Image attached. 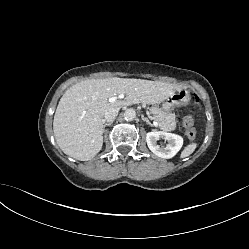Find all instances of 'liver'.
<instances>
[{
	"label": "liver",
	"mask_w": 249,
	"mask_h": 249,
	"mask_svg": "<svg viewBox=\"0 0 249 249\" xmlns=\"http://www.w3.org/2000/svg\"><path fill=\"white\" fill-rule=\"evenodd\" d=\"M174 84L134 78H105L81 81L65 91L53 120L60 149L77 160L93 158L103 145L104 114L110 109L138 103L157 104L172 96ZM125 94L114 103L109 98Z\"/></svg>",
	"instance_id": "6515ba94"
}]
</instances>
